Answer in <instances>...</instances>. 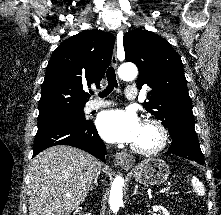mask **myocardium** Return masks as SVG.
I'll list each match as a JSON object with an SVG mask.
<instances>
[{"label":"myocardium","mask_w":221,"mask_h":215,"mask_svg":"<svg viewBox=\"0 0 221 215\" xmlns=\"http://www.w3.org/2000/svg\"><path fill=\"white\" fill-rule=\"evenodd\" d=\"M141 125L153 127L158 134V141L152 147H142L136 144L132 145V150L141 155H154L162 151L168 144L169 133L165 125L156 118H146Z\"/></svg>","instance_id":"f54148a6"}]
</instances>
